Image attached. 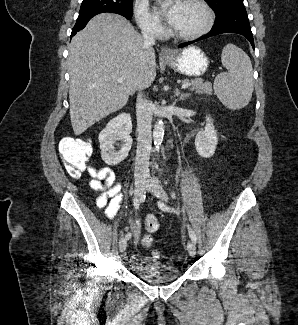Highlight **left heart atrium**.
Masks as SVG:
<instances>
[{
	"mask_svg": "<svg viewBox=\"0 0 298 325\" xmlns=\"http://www.w3.org/2000/svg\"><path fill=\"white\" fill-rule=\"evenodd\" d=\"M179 11V2L167 1L163 6L158 7L157 14L164 19L167 23L172 24Z\"/></svg>",
	"mask_w": 298,
	"mask_h": 325,
	"instance_id": "obj_1",
	"label": "left heart atrium"
}]
</instances>
